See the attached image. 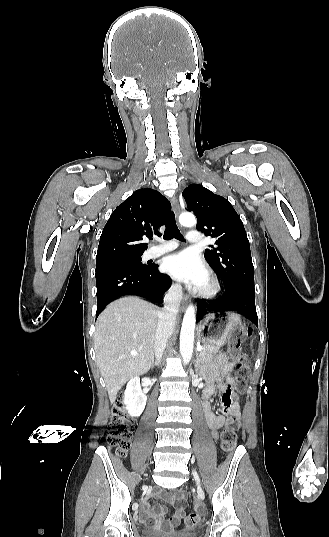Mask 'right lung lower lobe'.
<instances>
[{
  "mask_svg": "<svg viewBox=\"0 0 329 537\" xmlns=\"http://www.w3.org/2000/svg\"><path fill=\"white\" fill-rule=\"evenodd\" d=\"M96 318L111 301L125 295H137L162 305L163 295L170 288L168 275L161 274L157 265L140 269L134 266L101 264L96 266Z\"/></svg>",
  "mask_w": 329,
  "mask_h": 537,
  "instance_id": "1",
  "label": "right lung lower lobe"
}]
</instances>
